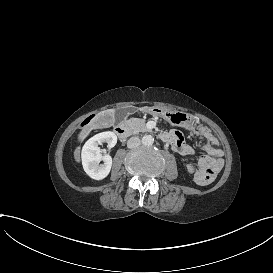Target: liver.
<instances>
[{"label": "liver", "instance_id": "6515ba94", "mask_svg": "<svg viewBox=\"0 0 273 273\" xmlns=\"http://www.w3.org/2000/svg\"><path fill=\"white\" fill-rule=\"evenodd\" d=\"M115 124V109H107L95 115L91 122L85 125L78 135V140L83 141L93 129H102L114 126ZM76 162H80V147L74 151Z\"/></svg>", "mask_w": 273, "mask_h": 273}]
</instances>
